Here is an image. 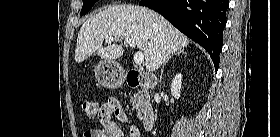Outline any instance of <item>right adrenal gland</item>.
I'll return each instance as SVG.
<instances>
[{
	"label": "right adrenal gland",
	"mask_w": 280,
	"mask_h": 137,
	"mask_svg": "<svg viewBox=\"0 0 280 137\" xmlns=\"http://www.w3.org/2000/svg\"><path fill=\"white\" fill-rule=\"evenodd\" d=\"M180 53L186 54V52L184 51V49H180L177 53H174V54H180ZM172 56H173V54H172ZM167 60H168V59H167ZM161 73L163 74V69H162ZM161 78H162V75H161V77H160V80H161Z\"/></svg>",
	"instance_id": "2a0ac1e0"
}]
</instances>
